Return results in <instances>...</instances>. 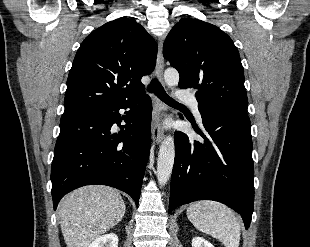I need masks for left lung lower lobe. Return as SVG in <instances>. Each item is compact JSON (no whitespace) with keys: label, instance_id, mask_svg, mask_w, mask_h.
Wrapping results in <instances>:
<instances>
[{"label":"left lung lower lobe","instance_id":"left-lung-lower-lobe-1","mask_svg":"<svg viewBox=\"0 0 310 247\" xmlns=\"http://www.w3.org/2000/svg\"><path fill=\"white\" fill-rule=\"evenodd\" d=\"M208 138L192 141L175 132V160L169 212L197 200L222 202L249 228L254 204L251 123L247 115L214 111L201 113Z\"/></svg>","mask_w":310,"mask_h":247}]
</instances>
